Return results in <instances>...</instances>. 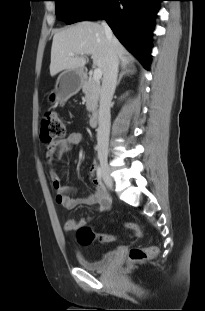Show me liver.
<instances>
[{
    "label": "liver",
    "mask_w": 205,
    "mask_h": 311,
    "mask_svg": "<svg viewBox=\"0 0 205 311\" xmlns=\"http://www.w3.org/2000/svg\"><path fill=\"white\" fill-rule=\"evenodd\" d=\"M112 44L122 65H127L129 58L125 56L124 47L115 37ZM109 48L110 42L104 27L99 23L83 21L62 29L53 37L50 75L53 77L63 70H82L86 64L84 54H90L93 64L104 74ZM70 53H74V56H70Z\"/></svg>",
    "instance_id": "obj_1"
}]
</instances>
